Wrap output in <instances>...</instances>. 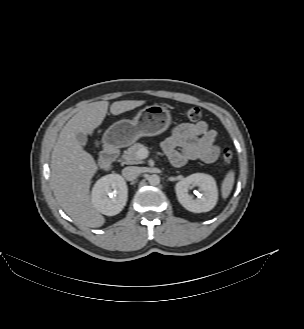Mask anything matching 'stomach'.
Masks as SVG:
<instances>
[{"label":"stomach","mask_w":304,"mask_h":329,"mask_svg":"<svg viewBox=\"0 0 304 329\" xmlns=\"http://www.w3.org/2000/svg\"><path fill=\"white\" fill-rule=\"evenodd\" d=\"M171 124V114L162 105L146 106L133 120L123 119L111 125L103 135V143L108 148L126 147L144 136L163 133Z\"/></svg>","instance_id":"1"}]
</instances>
